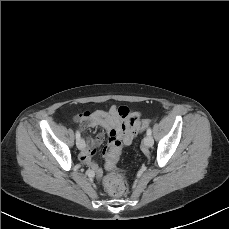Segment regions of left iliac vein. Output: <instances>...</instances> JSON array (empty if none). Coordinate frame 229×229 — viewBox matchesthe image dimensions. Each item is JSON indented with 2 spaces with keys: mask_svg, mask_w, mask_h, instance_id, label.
I'll use <instances>...</instances> for the list:
<instances>
[{
  "mask_svg": "<svg viewBox=\"0 0 229 229\" xmlns=\"http://www.w3.org/2000/svg\"><path fill=\"white\" fill-rule=\"evenodd\" d=\"M143 143L146 147H152L154 141L151 135H146L143 139Z\"/></svg>",
  "mask_w": 229,
  "mask_h": 229,
  "instance_id": "left-iliac-vein-1",
  "label": "left iliac vein"
}]
</instances>
